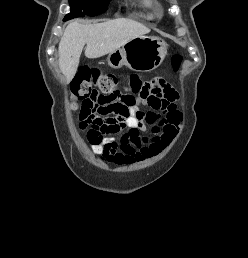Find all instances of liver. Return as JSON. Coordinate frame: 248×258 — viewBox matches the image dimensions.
I'll return each instance as SVG.
<instances>
[{
    "mask_svg": "<svg viewBox=\"0 0 248 258\" xmlns=\"http://www.w3.org/2000/svg\"><path fill=\"white\" fill-rule=\"evenodd\" d=\"M149 32L150 29L143 24L125 18L90 25L70 23L59 43L60 70L69 83L77 72L85 44V56L90 59L99 58Z\"/></svg>",
    "mask_w": 248,
    "mask_h": 258,
    "instance_id": "liver-1",
    "label": "liver"
}]
</instances>
